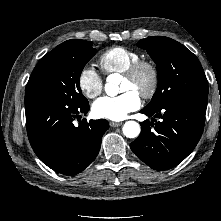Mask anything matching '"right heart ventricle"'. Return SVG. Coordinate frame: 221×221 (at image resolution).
<instances>
[{
	"label": "right heart ventricle",
	"mask_w": 221,
	"mask_h": 221,
	"mask_svg": "<svg viewBox=\"0 0 221 221\" xmlns=\"http://www.w3.org/2000/svg\"><path fill=\"white\" fill-rule=\"evenodd\" d=\"M139 59L140 54L136 50L124 46H113L100 55L99 63L106 74L124 73Z\"/></svg>",
	"instance_id": "e07e8e85"
}]
</instances>
